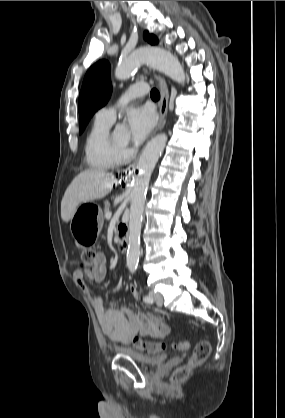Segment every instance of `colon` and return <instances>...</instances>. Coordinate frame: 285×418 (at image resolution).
I'll return each mask as SVG.
<instances>
[{
  "label": "colon",
  "instance_id": "obj_1",
  "mask_svg": "<svg viewBox=\"0 0 285 418\" xmlns=\"http://www.w3.org/2000/svg\"><path fill=\"white\" fill-rule=\"evenodd\" d=\"M97 257V253L92 248H84L81 252V265L84 267L91 266ZM132 346L145 353H158L167 348L165 343L151 342L139 337L132 339ZM173 350L183 351L188 348L186 341L174 343L171 345ZM211 351V344L208 340L199 341L193 349V353L189 360L178 367L173 374L174 382H181L185 380L192 372V370L200 366L209 356Z\"/></svg>",
  "mask_w": 285,
  "mask_h": 418
}]
</instances>
